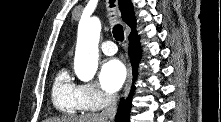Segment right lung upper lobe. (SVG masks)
Returning a JSON list of instances; mask_svg holds the SVG:
<instances>
[{"mask_svg":"<svg viewBox=\"0 0 221 122\" xmlns=\"http://www.w3.org/2000/svg\"><path fill=\"white\" fill-rule=\"evenodd\" d=\"M119 8L122 14L123 21L131 27V32H134L136 21L131 0H119Z\"/></svg>","mask_w":221,"mask_h":122,"instance_id":"1","label":"right lung upper lobe"}]
</instances>
